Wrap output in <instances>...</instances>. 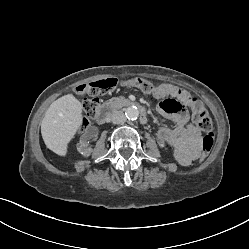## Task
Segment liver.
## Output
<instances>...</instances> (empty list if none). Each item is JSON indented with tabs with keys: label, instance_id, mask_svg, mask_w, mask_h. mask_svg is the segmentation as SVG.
Instances as JSON below:
<instances>
[{
	"label": "liver",
	"instance_id": "liver-1",
	"mask_svg": "<svg viewBox=\"0 0 249 249\" xmlns=\"http://www.w3.org/2000/svg\"><path fill=\"white\" fill-rule=\"evenodd\" d=\"M82 124V104L72 94L54 101L41 123V134L48 149L66 156L68 144Z\"/></svg>",
	"mask_w": 249,
	"mask_h": 249
}]
</instances>
